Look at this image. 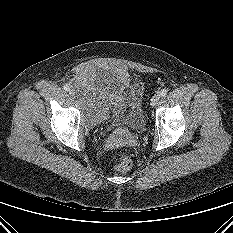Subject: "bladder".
<instances>
[{"label": "bladder", "instance_id": "1", "mask_svg": "<svg viewBox=\"0 0 233 233\" xmlns=\"http://www.w3.org/2000/svg\"><path fill=\"white\" fill-rule=\"evenodd\" d=\"M71 93L88 127L109 123L112 128L141 131L146 125L144 87L124 69L85 64L71 81Z\"/></svg>", "mask_w": 233, "mask_h": 233}]
</instances>
